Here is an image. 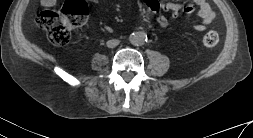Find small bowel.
<instances>
[{
    "label": "small bowel",
    "mask_w": 253,
    "mask_h": 138,
    "mask_svg": "<svg viewBox=\"0 0 253 138\" xmlns=\"http://www.w3.org/2000/svg\"><path fill=\"white\" fill-rule=\"evenodd\" d=\"M192 2L198 7L197 16L200 19V23L194 26L196 31H204L206 26L209 25L215 17L210 5L206 0H192ZM56 0H41L43 7H51L55 5ZM147 7L155 14V20L159 27L165 28L168 25V18L165 14H168L170 18L175 19L180 13L189 15L194 11L192 5H186L175 2L160 3L158 0H144Z\"/></svg>",
    "instance_id": "1"
}]
</instances>
